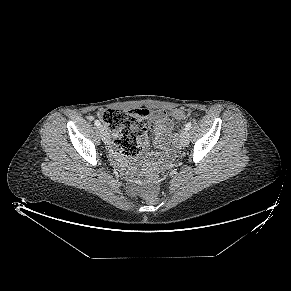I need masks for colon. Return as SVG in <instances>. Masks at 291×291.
<instances>
[{
	"instance_id": "1",
	"label": "colon",
	"mask_w": 291,
	"mask_h": 291,
	"mask_svg": "<svg viewBox=\"0 0 291 291\" xmlns=\"http://www.w3.org/2000/svg\"><path fill=\"white\" fill-rule=\"evenodd\" d=\"M149 112L145 109H133L129 111L108 109L102 114V121L114 137L115 144L122 154L129 158L140 155L142 148L138 140L139 134L145 130ZM170 116L176 120H183L187 112L175 109ZM145 198L150 203L158 201L157 189L153 186L145 191Z\"/></svg>"
}]
</instances>
